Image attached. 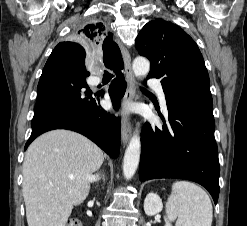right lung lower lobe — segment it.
<instances>
[{
    "label": "right lung lower lobe",
    "instance_id": "1",
    "mask_svg": "<svg viewBox=\"0 0 247 226\" xmlns=\"http://www.w3.org/2000/svg\"><path fill=\"white\" fill-rule=\"evenodd\" d=\"M84 48L75 42L59 43L48 58L38 83L37 101L31 122L32 133L25 149L40 134L54 129L76 131L91 139L112 158L120 152V118L99 105L103 95L92 93L86 84ZM109 88L118 109L126 90L121 70Z\"/></svg>",
    "mask_w": 247,
    "mask_h": 226
}]
</instances>
